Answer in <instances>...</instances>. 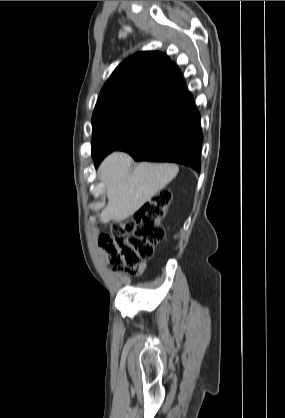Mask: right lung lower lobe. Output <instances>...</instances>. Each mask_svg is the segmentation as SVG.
Segmentation results:
<instances>
[{"instance_id":"right-lung-lower-lobe-1","label":"right lung lower lobe","mask_w":285,"mask_h":418,"mask_svg":"<svg viewBox=\"0 0 285 418\" xmlns=\"http://www.w3.org/2000/svg\"><path fill=\"white\" fill-rule=\"evenodd\" d=\"M202 140L200 113L192 99L173 109L159 124L121 151L129 153L136 161L174 162L200 171ZM103 159H94L95 167Z\"/></svg>"}]
</instances>
